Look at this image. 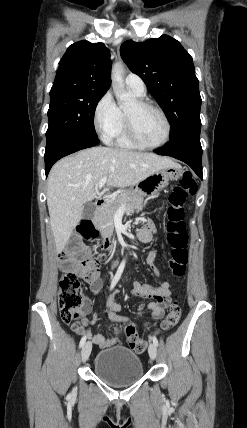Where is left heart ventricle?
Instances as JSON below:
<instances>
[{
    "label": "left heart ventricle",
    "instance_id": "b2bd125f",
    "mask_svg": "<svg viewBox=\"0 0 247 428\" xmlns=\"http://www.w3.org/2000/svg\"><path fill=\"white\" fill-rule=\"evenodd\" d=\"M131 117L138 137L149 144L159 143L165 135L162 117L151 108H139L135 102L125 110Z\"/></svg>",
    "mask_w": 247,
    "mask_h": 428
}]
</instances>
